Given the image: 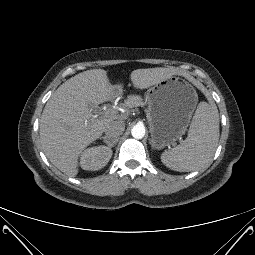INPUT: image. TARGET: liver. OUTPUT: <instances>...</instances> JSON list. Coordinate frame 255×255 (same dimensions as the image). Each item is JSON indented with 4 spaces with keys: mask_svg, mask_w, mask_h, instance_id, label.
<instances>
[{
    "mask_svg": "<svg viewBox=\"0 0 255 255\" xmlns=\"http://www.w3.org/2000/svg\"><path fill=\"white\" fill-rule=\"evenodd\" d=\"M171 75L193 77L173 68L137 69L130 79L135 88L145 89ZM103 69L85 71L58 87L46 103L40 119V141L49 161L68 177L78 172L82 151L99 138L106 126L124 115L96 116L90 106L109 101L114 89Z\"/></svg>",
    "mask_w": 255,
    "mask_h": 255,
    "instance_id": "1",
    "label": "liver"
}]
</instances>
